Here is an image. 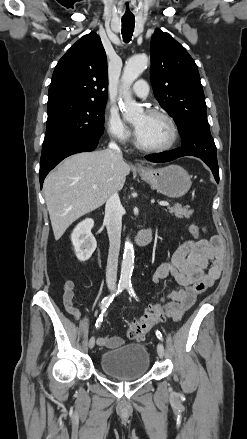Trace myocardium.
Instances as JSON below:
<instances>
[{"mask_svg": "<svg viewBox=\"0 0 247 439\" xmlns=\"http://www.w3.org/2000/svg\"><path fill=\"white\" fill-rule=\"evenodd\" d=\"M145 114L148 116H159V117H162L163 119H165L170 127V133H171L170 139L166 144H164L162 146L151 147V146H146V145L142 144L139 141L137 134L135 133V135H134L135 146L138 149H140L144 152H149V153H161V152H165V151L172 149L176 145V143L178 142V139H179V130H178V126H177L174 118L168 112L161 110V109H149L145 112Z\"/></svg>", "mask_w": 247, "mask_h": 439, "instance_id": "myocardium-1", "label": "myocardium"}]
</instances>
